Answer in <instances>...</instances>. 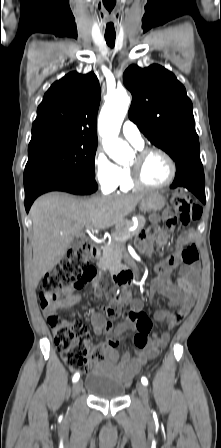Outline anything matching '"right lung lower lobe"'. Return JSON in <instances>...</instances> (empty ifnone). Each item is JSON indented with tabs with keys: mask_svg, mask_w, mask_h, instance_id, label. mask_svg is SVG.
Returning a JSON list of instances; mask_svg holds the SVG:
<instances>
[{
	"mask_svg": "<svg viewBox=\"0 0 221 448\" xmlns=\"http://www.w3.org/2000/svg\"><path fill=\"white\" fill-rule=\"evenodd\" d=\"M95 180L79 178L50 168H33L24 171L25 209L28 212L33 201L49 191H65L87 195L97 190Z\"/></svg>",
	"mask_w": 221,
	"mask_h": 448,
	"instance_id": "98d812e1",
	"label": "right lung lower lobe"
}]
</instances>
